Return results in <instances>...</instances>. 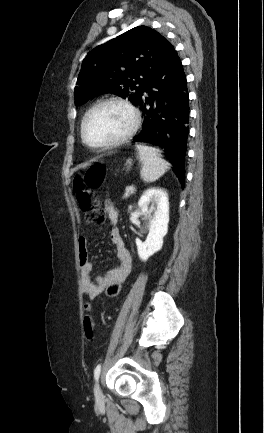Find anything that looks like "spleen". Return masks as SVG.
<instances>
[{
  "instance_id": "1",
  "label": "spleen",
  "mask_w": 264,
  "mask_h": 433,
  "mask_svg": "<svg viewBox=\"0 0 264 433\" xmlns=\"http://www.w3.org/2000/svg\"><path fill=\"white\" fill-rule=\"evenodd\" d=\"M136 148L142 162L140 174L145 182L151 183L158 180L169 169V163L161 158L158 149L141 144H137Z\"/></svg>"
}]
</instances>
